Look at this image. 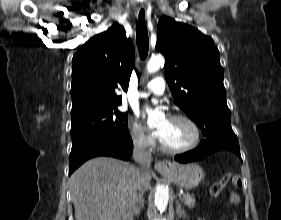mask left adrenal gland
Returning a JSON list of instances; mask_svg holds the SVG:
<instances>
[{"instance_id":"left-adrenal-gland-1","label":"left adrenal gland","mask_w":281,"mask_h":220,"mask_svg":"<svg viewBox=\"0 0 281 220\" xmlns=\"http://www.w3.org/2000/svg\"><path fill=\"white\" fill-rule=\"evenodd\" d=\"M176 213L179 217H186V212L181 208V204L179 203V201H177Z\"/></svg>"}]
</instances>
